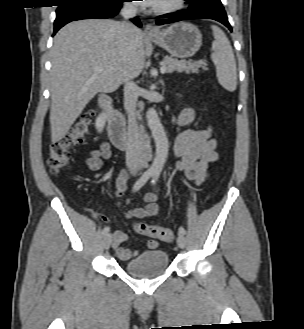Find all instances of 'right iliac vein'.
I'll use <instances>...</instances> for the list:
<instances>
[{
	"mask_svg": "<svg viewBox=\"0 0 304 329\" xmlns=\"http://www.w3.org/2000/svg\"><path fill=\"white\" fill-rule=\"evenodd\" d=\"M112 242V237L110 234H106L103 240V247L104 249H109Z\"/></svg>",
	"mask_w": 304,
	"mask_h": 329,
	"instance_id": "obj_1",
	"label": "right iliac vein"
}]
</instances>
